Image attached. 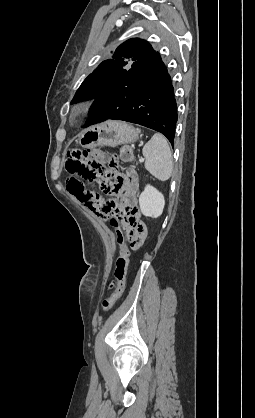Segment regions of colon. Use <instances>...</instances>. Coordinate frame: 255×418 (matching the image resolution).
<instances>
[{
  "label": "colon",
  "instance_id": "5ec220e1",
  "mask_svg": "<svg viewBox=\"0 0 255 418\" xmlns=\"http://www.w3.org/2000/svg\"><path fill=\"white\" fill-rule=\"evenodd\" d=\"M124 162L133 159L132 151L124 147L120 152ZM65 169L70 174L67 179L69 192L82 201L91 211L94 217L99 220L108 219L110 224L117 230L120 246V257L117 259L115 267L116 288L111 296L103 301L104 311L110 310L117 300L122 296L126 282L127 265L130 262L131 251L127 245L128 239L120 234L121 228H145L139 209L134 206L125 214V219H121L118 214V202L114 198L102 199L97 193L85 187L82 180L89 183H96L105 194L113 193L111 178L114 175L115 166L108 162L107 156L101 151H86L79 148H72L68 151V158ZM136 250V249H134Z\"/></svg>",
  "mask_w": 255,
  "mask_h": 418
}]
</instances>
